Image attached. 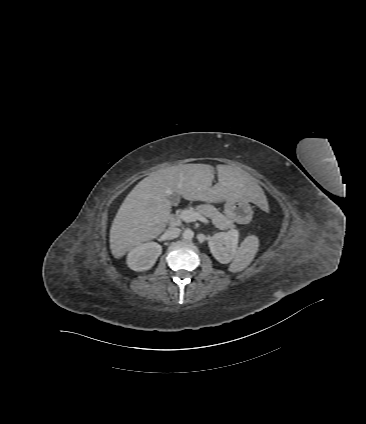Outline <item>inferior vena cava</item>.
Instances as JSON below:
<instances>
[{"instance_id": "inferior-vena-cava-1", "label": "inferior vena cava", "mask_w": 366, "mask_h": 424, "mask_svg": "<svg viewBox=\"0 0 366 424\" xmlns=\"http://www.w3.org/2000/svg\"><path fill=\"white\" fill-rule=\"evenodd\" d=\"M181 233V230L177 227H169L166 232H165V236L167 237V239H174L177 238Z\"/></svg>"}]
</instances>
